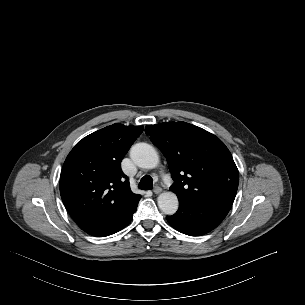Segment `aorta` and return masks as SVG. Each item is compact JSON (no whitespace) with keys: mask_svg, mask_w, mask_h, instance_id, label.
<instances>
[{"mask_svg":"<svg viewBox=\"0 0 305 305\" xmlns=\"http://www.w3.org/2000/svg\"><path fill=\"white\" fill-rule=\"evenodd\" d=\"M131 159L137 166L153 169L159 163V156L153 146L147 143H137L130 150ZM179 201L173 192H163L158 197L159 209L167 215H173L178 209Z\"/></svg>","mask_w":305,"mask_h":305,"instance_id":"aorta-1","label":"aorta"}]
</instances>
